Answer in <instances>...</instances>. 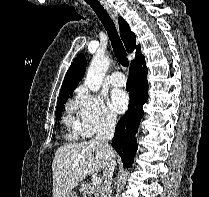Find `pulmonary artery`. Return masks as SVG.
I'll return each mask as SVG.
<instances>
[{"label": "pulmonary artery", "mask_w": 209, "mask_h": 197, "mask_svg": "<svg viewBox=\"0 0 209 197\" xmlns=\"http://www.w3.org/2000/svg\"><path fill=\"white\" fill-rule=\"evenodd\" d=\"M109 82L114 87H122L126 84V78L120 71L111 74Z\"/></svg>", "instance_id": "e3ab8cb5"}]
</instances>
